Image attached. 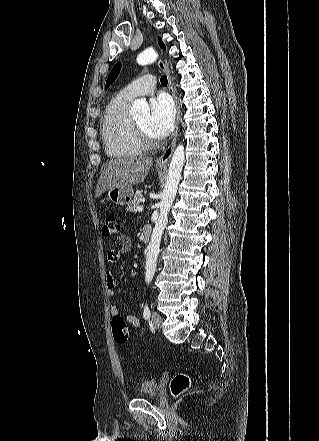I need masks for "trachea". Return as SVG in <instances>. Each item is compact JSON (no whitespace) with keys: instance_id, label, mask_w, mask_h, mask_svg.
Returning a JSON list of instances; mask_svg holds the SVG:
<instances>
[{"instance_id":"3493384b","label":"trachea","mask_w":319,"mask_h":441,"mask_svg":"<svg viewBox=\"0 0 319 441\" xmlns=\"http://www.w3.org/2000/svg\"><path fill=\"white\" fill-rule=\"evenodd\" d=\"M160 82H161V84L164 85V86L167 85V83H168L167 76H166V75L162 76V77L160 78Z\"/></svg>"}]
</instances>
